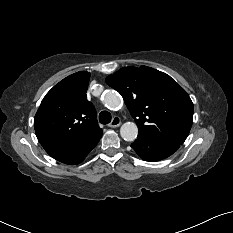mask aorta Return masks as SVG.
<instances>
[{
  "instance_id": "aorta-1",
  "label": "aorta",
  "mask_w": 233,
  "mask_h": 233,
  "mask_svg": "<svg viewBox=\"0 0 233 233\" xmlns=\"http://www.w3.org/2000/svg\"><path fill=\"white\" fill-rule=\"evenodd\" d=\"M103 102L111 110L119 109L122 105L121 96L114 90H107L103 93ZM120 135L125 141H134L138 135V128L135 123H124L120 128Z\"/></svg>"
}]
</instances>
